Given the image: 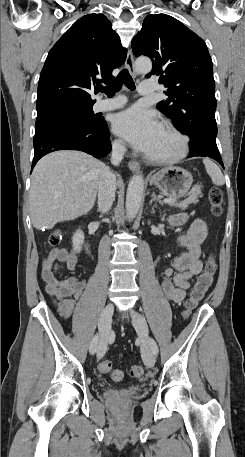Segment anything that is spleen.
Wrapping results in <instances>:
<instances>
[{
	"label": "spleen",
	"instance_id": "spleen-1",
	"mask_svg": "<svg viewBox=\"0 0 245 457\" xmlns=\"http://www.w3.org/2000/svg\"><path fill=\"white\" fill-rule=\"evenodd\" d=\"M203 162L205 164L206 172H208L209 176L212 178V182H214V184H224L225 178L219 166H217L211 158H203Z\"/></svg>",
	"mask_w": 245,
	"mask_h": 457
}]
</instances>
